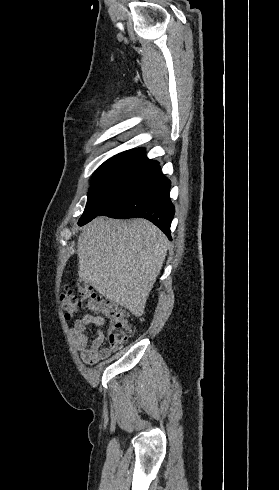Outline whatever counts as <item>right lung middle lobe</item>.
Instances as JSON below:
<instances>
[{"label": "right lung middle lobe", "mask_w": 279, "mask_h": 490, "mask_svg": "<svg viewBox=\"0 0 279 490\" xmlns=\"http://www.w3.org/2000/svg\"><path fill=\"white\" fill-rule=\"evenodd\" d=\"M158 164H137L129 162H109L102 164L95 172L88 192V200L78 224H85L98 216L106 200L117 191L154 177L159 171Z\"/></svg>", "instance_id": "1"}]
</instances>
